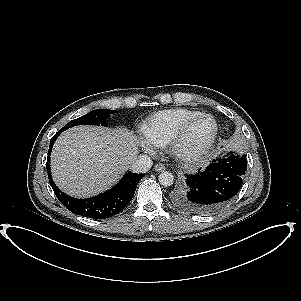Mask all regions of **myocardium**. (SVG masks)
Here are the masks:
<instances>
[{
  "instance_id": "myocardium-1",
  "label": "myocardium",
  "mask_w": 301,
  "mask_h": 301,
  "mask_svg": "<svg viewBox=\"0 0 301 301\" xmlns=\"http://www.w3.org/2000/svg\"><path fill=\"white\" fill-rule=\"evenodd\" d=\"M209 119L213 123V131L208 140L196 149L186 150L183 147L184 140L189 129L200 119ZM218 134V124L216 119L207 113H200L185 122L168 144L169 152L178 160L183 162H196L203 158L212 148Z\"/></svg>"
}]
</instances>
